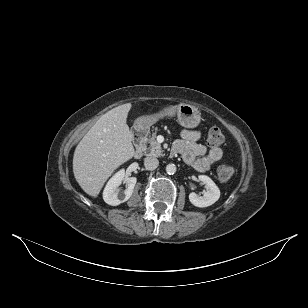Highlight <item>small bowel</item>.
I'll return each instance as SVG.
<instances>
[{"mask_svg":"<svg viewBox=\"0 0 308 308\" xmlns=\"http://www.w3.org/2000/svg\"><path fill=\"white\" fill-rule=\"evenodd\" d=\"M201 134L197 130L184 129L181 139L173 144L174 153L180 154L184 162L198 172H206L222 159L220 148L207 149L199 143Z\"/></svg>","mask_w":308,"mask_h":308,"instance_id":"small-bowel-1","label":"small bowel"}]
</instances>
